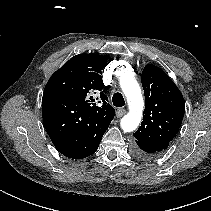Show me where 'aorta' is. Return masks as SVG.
Here are the masks:
<instances>
[{
  "label": "aorta",
  "instance_id": "1",
  "mask_svg": "<svg viewBox=\"0 0 211 211\" xmlns=\"http://www.w3.org/2000/svg\"><path fill=\"white\" fill-rule=\"evenodd\" d=\"M120 86L129 106V112L121 119V128L124 132H131L141 122L144 101L140 86L131 74L121 76Z\"/></svg>",
  "mask_w": 211,
  "mask_h": 211
}]
</instances>
